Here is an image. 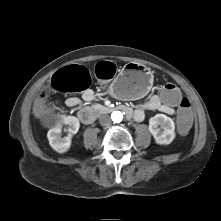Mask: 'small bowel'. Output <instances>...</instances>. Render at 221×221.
<instances>
[{
    "label": "small bowel",
    "mask_w": 221,
    "mask_h": 221,
    "mask_svg": "<svg viewBox=\"0 0 221 221\" xmlns=\"http://www.w3.org/2000/svg\"><path fill=\"white\" fill-rule=\"evenodd\" d=\"M95 99V93L92 89H86L83 93L81 98L79 97H70L66 100V105L68 107H77L79 106L82 101L84 102H91ZM146 110H157L167 115H173L175 113V107L169 108L166 107L161 100L159 99V95H152L146 101L141 103L134 111H133V118L141 122L145 118V111Z\"/></svg>",
    "instance_id": "c3829d8e"
}]
</instances>
